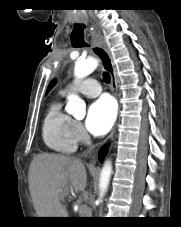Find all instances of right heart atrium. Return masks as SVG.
<instances>
[{
    "instance_id": "d8ad5b80",
    "label": "right heart atrium",
    "mask_w": 181,
    "mask_h": 227,
    "mask_svg": "<svg viewBox=\"0 0 181 227\" xmlns=\"http://www.w3.org/2000/svg\"><path fill=\"white\" fill-rule=\"evenodd\" d=\"M72 132L77 143H86L88 135L79 121H73Z\"/></svg>"
}]
</instances>
